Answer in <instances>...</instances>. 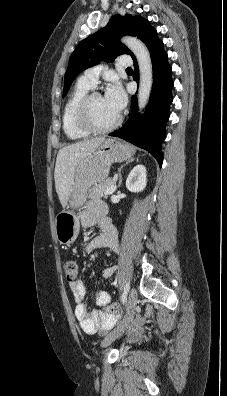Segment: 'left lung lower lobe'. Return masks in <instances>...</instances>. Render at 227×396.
I'll return each instance as SVG.
<instances>
[{
  "label": "left lung lower lobe",
  "instance_id": "1",
  "mask_svg": "<svg viewBox=\"0 0 227 396\" xmlns=\"http://www.w3.org/2000/svg\"><path fill=\"white\" fill-rule=\"evenodd\" d=\"M153 65V87L149 103L143 116H138L136 96L131 98L132 111L127 122L110 136L122 138L140 148L150 152L162 165L161 144L165 139V125L169 118V107L172 103L173 81L172 68L168 63L167 53L163 42L156 38L147 46ZM135 75L138 81V63L133 58Z\"/></svg>",
  "mask_w": 227,
  "mask_h": 396
}]
</instances>
